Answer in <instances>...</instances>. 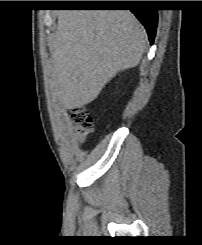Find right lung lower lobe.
Masks as SVG:
<instances>
[{"mask_svg":"<svg viewBox=\"0 0 202 245\" xmlns=\"http://www.w3.org/2000/svg\"><path fill=\"white\" fill-rule=\"evenodd\" d=\"M132 6V13L138 18V20L144 25L150 43L152 44L156 34L157 28V10L154 9H147L140 7L143 5L142 1H133L132 3L128 4ZM128 5H121V3H87L85 6H128Z\"/></svg>","mask_w":202,"mask_h":245,"instance_id":"obj_1","label":"right lung lower lobe"}]
</instances>
